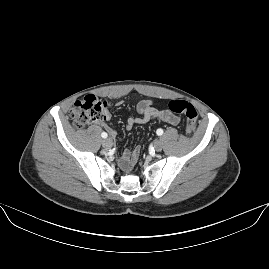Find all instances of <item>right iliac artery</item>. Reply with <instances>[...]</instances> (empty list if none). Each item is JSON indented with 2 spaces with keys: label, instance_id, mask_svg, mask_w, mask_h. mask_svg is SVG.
Returning <instances> with one entry per match:
<instances>
[{
  "label": "right iliac artery",
  "instance_id": "right-iliac-artery-1",
  "mask_svg": "<svg viewBox=\"0 0 269 269\" xmlns=\"http://www.w3.org/2000/svg\"><path fill=\"white\" fill-rule=\"evenodd\" d=\"M101 136L103 137V138H107V133L106 132H103L102 134H101Z\"/></svg>",
  "mask_w": 269,
  "mask_h": 269
}]
</instances>
